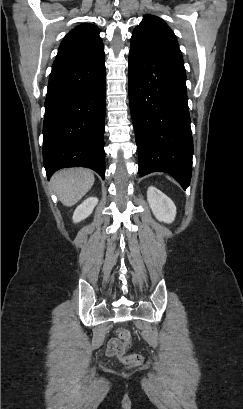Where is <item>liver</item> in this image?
Here are the masks:
<instances>
[{
    "mask_svg": "<svg viewBox=\"0 0 243 409\" xmlns=\"http://www.w3.org/2000/svg\"><path fill=\"white\" fill-rule=\"evenodd\" d=\"M94 180L91 170L77 167L56 172L51 184L61 203L71 207L91 189Z\"/></svg>",
    "mask_w": 243,
    "mask_h": 409,
    "instance_id": "liver-1",
    "label": "liver"
}]
</instances>
